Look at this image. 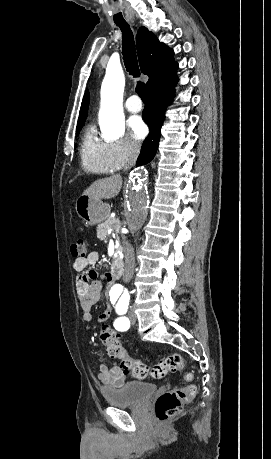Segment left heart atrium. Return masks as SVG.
<instances>
[{
	"label": "left heart atrium",
	"instance_id": "obj_1",
	"mask_svg": "<svg viewBox=\"0 0 271 459\" xmlns=\"http://www.w3.org/2000/svg\"><path fill=\"white\" fill-rule=\"evenodd\" d=\"M129 129L135 140H141L146 135V126L139 117H133L130 120Z\"/></svg>",
	"mask_w": 271,
	"mask_h": 459
}]
</instances>
